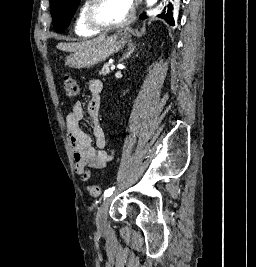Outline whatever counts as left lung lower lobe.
Returning a JSON list of instances; mask_svg holds the SVG:
<instances>
[{"label":"left lung lower lobe","instance_id":"0a47b994","mask_svg":"<svg viewBox=\"0 0 256 267\" xmlns=\"http://www.w3.org/2000/svg\"><path fill=\"white\" fill-rule=\"evenodd\" d=\"M169 24V23H168ZM170 25H174V19H172V23Z\"/></svg>","mask_w":256,"mask_h":267}]
</instances>
